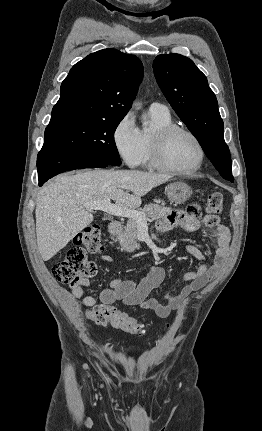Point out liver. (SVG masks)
<instances>
[{
  "label": "liver",
  "instance_id": "1",
  "mask_svg": "<svg viewBox=\"0 0 262 431\" xmlns=\"http://www.w3.org/2000/svg\"><path fill=\"white\" fill-rule=\"evenodd\" d=\"M170 178L166 174L112 169L57 176L37 195L36 236L43 260L51 259L93 221V214L84 203L108 198L116 206L135 210L140 207L142 196Z\"/></svg>",
  "mask_w": 262,
  "mask_h": 431
}]
</instances>
